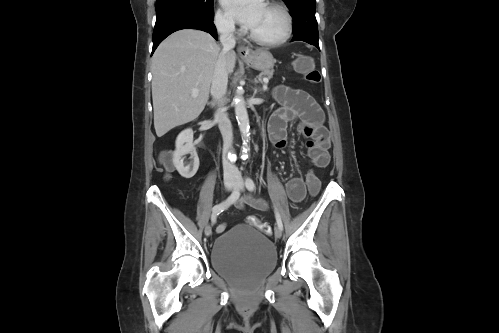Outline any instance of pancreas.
I'll use <instances>...</instances> for the list:
<instances>
[{
    "label": "pancreas",
    "instance_id": "pancreas-1",
    "mask_svg": "<svg viewBox=\"0 0 499 333\" xmlns=\"http://www.w3.org/2000/svg\"><path fill=\"white\" fill-rule=\"evenodd\" d=\"M263 76H264V77H266V79H270V78H272V76H273V70H268V71L263 72V73L260 75V77L258 78V80H259V81H262V77H263Z\"/></svg>",
    "mask_w": 499,
    "mask_h": 333
}]
</instances>
